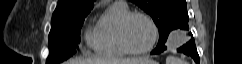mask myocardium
I'll list each match as a JSON object with an SVG mask.
<instances>
[{"mask_svg":"<svg viewBox=\"0 0 242 64\" xmlns=\"http://www.w3.org/2000/svg\"><path fill=\"white\" fill-rule=\"evenodd\" d=\"M134 17H142V18L146 19L152 29V39H151L150 44L141 50H136V49L131 48L130 45L128 44V41L126 38L127 26L129 24L130 20ZM158 35H159L158 27H157L155 21L153 20V18L150 15H148L144 12H140V11H133V12L127 13L121 19L119 28H118V40H119L120 46L125 51V53L131 54V55H144V54L150 52L154 48V46L157 42Z\"/></svg>","mask_w":242,"mask_h":64,"instance_id":"1","label":"myocardium"}]
</instances>
